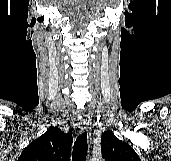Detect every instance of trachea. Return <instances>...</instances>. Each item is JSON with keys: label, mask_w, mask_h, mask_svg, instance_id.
<instances>
[{"label": "trachea", "mask_w": 171, "mask_h": 161, "mask_svg": "<svg viewBox=\"0 0 171 161\" xmlns=\"http://www.w3.org/2000/svg\"><path fill=\"white\" fill-rule=\"evenodd\" d=\"M87 132L84 131L80 134L73 147L72 161H85L87 156Z\"/></svg>", "instance_id": "obj_1"}]
</instances>
